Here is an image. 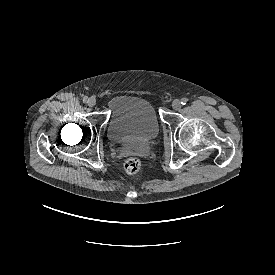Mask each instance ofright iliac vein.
I'll return each mask as SVG.
<instances>
[{
  "mask_svg": "<svg viewBox=\"0 0 275 275\" xmlns=\"http://www.w3.org/2000/svg\"><path fill=\"white\" fill-rule=\"evenodd\" d=\"M88 105H89L90 107L95 106V105H96V99L93 98V97L90 98L89 101H88Z\"/></svg>",
  "mask_w": 275,
  "mask_h": 275,
  "instance_id": "63e3f726",
  "label": "right iliac vein"
}]
</instances>
